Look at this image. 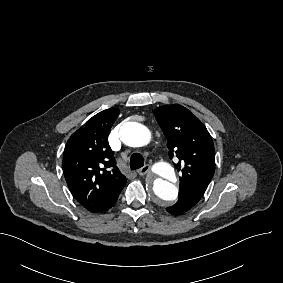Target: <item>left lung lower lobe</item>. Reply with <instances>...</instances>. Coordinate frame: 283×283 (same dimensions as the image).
I'll use <instances>...</instances> for the list:
<instances>
[{
	"label": "left lung lower lobe",
	"mask_w": 283,
	"mask_h": 283,
	"mask_svg": "<svg viewBox=\"0 0 283 283\" xmlns=\"http://www.w3.org/2000/svg\"><path fill=\"white\" fill-rule=\"evenodd\" d=\"M200 199L190 194H182L179 196L177 203L166 210L172 215H180L191 209Z\"/></svg>",
	"instance_id": "left-lung-lower-lobe-1"
}]
</instances>
